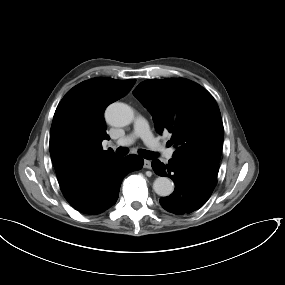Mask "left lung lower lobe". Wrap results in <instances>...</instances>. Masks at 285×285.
Here are the masks:
<instances>
[{"mask_svg":"<svg viewBox=\"0 0 285 285\" xmlns=\"http://www.w3.org/2000/svg\"><path fill=\"white\" fill-rule=\"evenodd\" d=\"M152 168L157 175H170L175 182V191L160 199L161 206L174 214H190L201 208L217 183L218 168L196 161L172 158L164 165L154 160Z\"/></svg>","mask_w":285,"mask_h":285,"instance_id":"left-lung-lower-lobe-1","label":"left lung lower lobe"}]
</instances>
